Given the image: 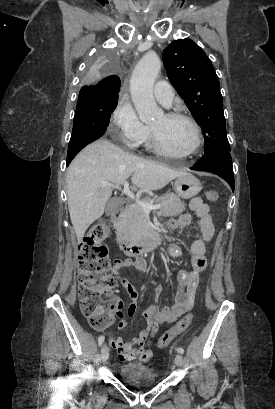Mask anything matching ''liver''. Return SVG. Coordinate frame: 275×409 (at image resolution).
I'll return each mask as SVG.
<instances>
[{
  "instance_id": "1",
  "label": "liver",
  "mask_w": 275,
  "mask_h": 409,
  "mask_svg": "<svg viewBox=\"0 0 275 409\" xmlns=\"http://www.w3.org/2000/svg\"><path fill=\"white\" fill-rule=\"evenodd\" d=\"M130 174L133 184L141 190H157L188 172L129 154L107 138L91 142L67 170L68 209L78 243H82L88 227L102 217L112 194V186L103 182L124 184Z\"/></svg>"
}]
</instances>
